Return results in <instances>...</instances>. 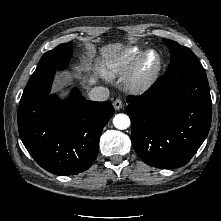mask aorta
Instances as JSON below:
<instances>
[{"label":"aorta","mask_w":221,"mask_h":221,"mask_svg":"<svg viewBox=\"0 0 221 221\" xmlns=\"http://www.w3.org/2000/svg\"><path fill=\"white\" fill-rule=\"evenodd\" d=\"M113 124L117 129H127L130 126V118L125 114H117L113 119Z\"/></svg>","instance_id":"aorta-1"}]
</instances>
